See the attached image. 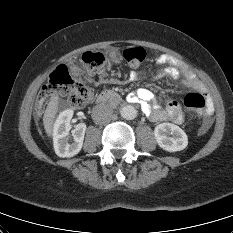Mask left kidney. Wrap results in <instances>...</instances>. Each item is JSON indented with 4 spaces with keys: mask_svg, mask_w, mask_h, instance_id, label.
<instances>
[{
    "mask_svg": "<svg viewBox=\"0 0 233 233\" xmlns=\"http://www.w3.org/2000/svg\"><path fill=\"white\" fill-rule=\"evenodd\" d=\"M154 136L159 147L168 152L181 151L188 145L186 133L172 123L157 125L154 129Z\"/></svg>",
    "mask_w": 233,
    "mask_h": 233,
    "instance_id": "5707ae66",
    "label": "left kidney"
}]
</instances>
